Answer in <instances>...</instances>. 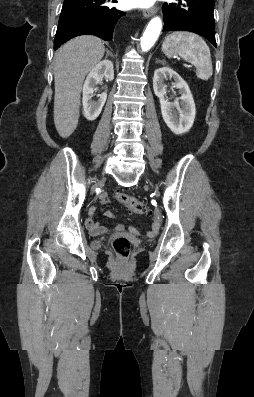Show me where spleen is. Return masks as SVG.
<instances>
[{
	"instance_id": "3e777b00",
	"label": "spleen",
	"mask_w": 254,
	"mask_h": 397,
	"mask_svg": "<svg viewBox=\"0 0 254 397\" xmlns=\"http://www.w3.org/2000/svg\"><path fill=\"white\" fill-rule=\"evenodd\" d=\"M162 51L171 58L176 55L191 62L196 67V75L201 80H208L213 74L210 49L206 42L197 34L175 31L168 35Z\"/></svg>"
}]
</instances>
